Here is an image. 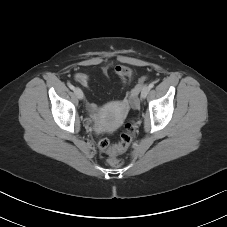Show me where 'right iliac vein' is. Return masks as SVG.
<instances>
[{
  "label": "right iliac vein",
  "instance_id": "obj_1",
  "mask_svg": "<svg viewBox=\"0 0 227 227\" xmlns=\"http://www.w3.org/2000/svg\"><path fill=\"white\" fill-rule=\"evenodd\" d=\"M74 93L77 96L78 99H83L84 94L83 91L80 88H75Z\"/></svg>",
  "mask_w": 227,
  "mask_h": 227
}]
</instances>
